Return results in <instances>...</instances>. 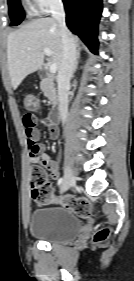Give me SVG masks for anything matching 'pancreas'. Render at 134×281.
Returning a JSON list of instances; mask_svg holds the SVG:
<instances>
[{
  "label": "pancreas",
  "mask_w": 134,
  "mask_h": 281,
  "mask_svg": "<svg viewBox=\"0 0 134 281\" xmlns=\"http://www.w3.org/2000/svg\"><path fill=\"white\" fill-rule=\"evenodd\" d=\"M40 88L44 92V95L49 99V102L56 104L57 95L53 80L51 78L43 79L40 84Z\"/></svg>",
  "instance_id": "cf45deb5"
}]
</instances>
